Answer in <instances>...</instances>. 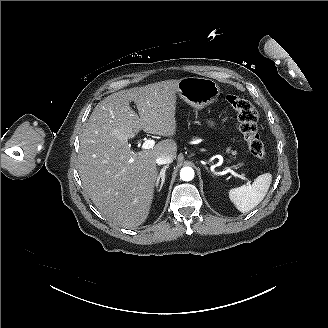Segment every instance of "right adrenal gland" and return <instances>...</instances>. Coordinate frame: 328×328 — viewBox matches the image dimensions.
<instances>
[{"label": "right adrenal gland", "instance_id": "2a0ac1e0", "mask_svg": "<svg viewBox=\"0 0 328 328\" xmlns=\"http://www.w3.org/2000/svg\"><path fill=\"white\" fill-rule=\"evenodd\" d=\"M168 167L169 166L166 165V166L163 167V169H161L160 177H159L158 182H157V191L158 192L163 188V185H164V182H165V170Z\"/></svg>", "mask_w": 328, "mask_h": 328}]
</instances>
